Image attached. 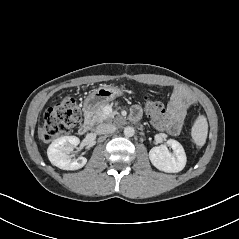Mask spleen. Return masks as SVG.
<instances>
[{"mask_svg":"<svg viewBox=\"0 0 239 239\" xmlns=\"http://www.w3.org/2000/svg\"><path fill=\"white\" fill-rule=\"evenodd\" d=\"M208 134V123L204 115H199L192 126L191 135L194 142L202 147L207 138Z\"/></svg>","mask_w":239,"mask_h":239,"instance_id":"spleen-1","label":"spleen"}]
</instances>
